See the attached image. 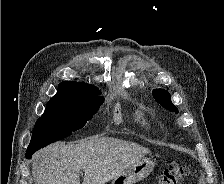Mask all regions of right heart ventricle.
Here are the masks:
<instances>
[{"mask_svg": "<svg viewBox=\"0 0 224 184\" xmlns=\"http://www.w3.org/2000/svg\"><path fill=\"white\" fill-rule=\"evenodd\" d=\"M136 120L141 126H143L146 130L150 128L149 121L145 118L144 114L142 112L137 113Z\"/></svg>", "mask_w": 224, "mask_h": 184, "instance_id": "1", "label": "right heart ventricle"}]
</instances>
